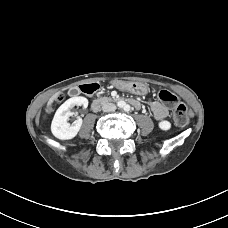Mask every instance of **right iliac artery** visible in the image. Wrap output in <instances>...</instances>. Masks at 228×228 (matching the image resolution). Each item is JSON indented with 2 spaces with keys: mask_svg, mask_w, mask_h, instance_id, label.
Listing matches in <instances>:
<instances>
[{
  "mask_svg": "<svg viewBox=\"0 0 228 228\" xmlns=\"http://www.w3.org/2000/svg\"><path fill=\"white\" fill-rule=\"evenodd\" d=\"M118 106L119 107H123L124 106V103L123 102H118Z\"/></svg>",
  "mask_w": 228,
  "mask_h": 228,
  "instance_id": "82829eb1",
  "label": "right iliac artery"
}]
</instances>
